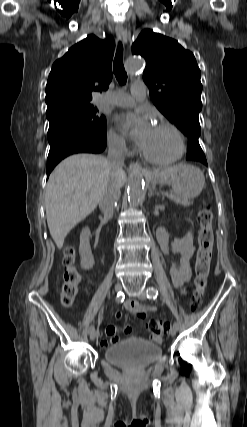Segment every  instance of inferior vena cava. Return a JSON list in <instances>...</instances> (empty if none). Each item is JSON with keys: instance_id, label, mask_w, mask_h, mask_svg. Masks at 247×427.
<instances>
[{"instance_id": "inferior-vena-cava-1", "label": "inferior vena cava", "mask_w": 247, "mask_h": 427, "mask_svg": "<svg viewBox=\"0 0 247 427\" xmlns=\"http://www.w3.org/2000/svg\"><path fill=\"white\" fill-rule=\"evenodd\" d=\"M124 142L111 140L108 142L107 161L112 170H117L124 165ZM120 198V187L113 181L105 188L99 201V207L106 218H111L115 204Z\"/></svg>"}]
</instances>
